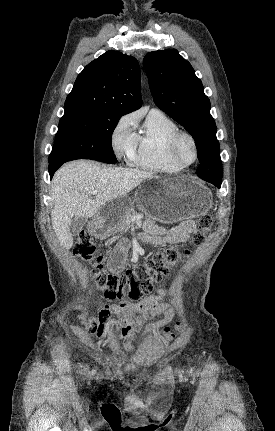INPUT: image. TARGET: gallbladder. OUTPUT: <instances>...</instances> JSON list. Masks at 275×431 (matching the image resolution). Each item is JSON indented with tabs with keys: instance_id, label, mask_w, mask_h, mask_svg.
Here are the masks:
<instances>
[{
	"instance_id": "bac80fb5",
	"label": "gallbladder",
	"mask_w": 275,
	"mask_h": 431,
	"mask_svg": "<svg viewBox=\"0 0 275 431\" xmlns=\"http://www.w3.org/2000/svg\"><path fill=\"white\" fill-rule=\"evenodd\" d=\"M86 223H87L86 218L81 216H74L69 226L70 234L72 236L78 235Z\"/></svg>"
}]
</instances>
